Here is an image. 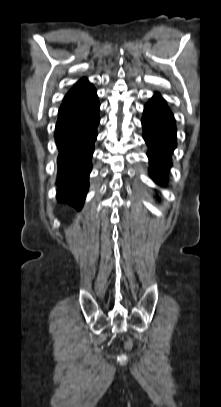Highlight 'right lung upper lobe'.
I'll use <instances>...</instances> for the list:
<instances>
[{"mask_svg": "<svg viewBox=\"0 0 221 407\" xmlns=\"http://www.w3.org/2000/svg\"><path fill=\"white\" fill-rule=\"evenodd\" d=\"M89 86H92V85L88 83L87 79H82L73 86V88L68 92V94L71 92L89 87Z\"/></svg>", "mask_w": 221, "mask_h": 407, "instance_id": "right-lung-upper-lobe-1", "label": "right lung upper lobe"}]
</instances>
